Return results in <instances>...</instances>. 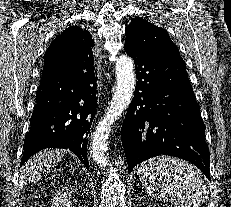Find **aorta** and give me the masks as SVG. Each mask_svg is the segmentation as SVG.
Returning a JSON list of instances; mask_svg holds the SVG:
<instances>
[{
  "mask_svg": "<svg viewBox=\"0 0 231 207\" xmlns=\"http://www.w3.org/2000/svg\"><path fill=\"white\" fill-rule=\"evenodd\" d=\"M115 70L117 85L113 99L91 140L90 155L100 167H106L108 164L106 140L115 121L131 103L136 85L134 62L131 57L127 55L120 56L116 61Z\"/></svg>",
  "mask_w": 231,
  "mask_h": 207,
  "instance_id": "762f6f07",
  "label": "aorta"
}]
</instances>
